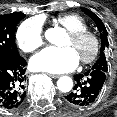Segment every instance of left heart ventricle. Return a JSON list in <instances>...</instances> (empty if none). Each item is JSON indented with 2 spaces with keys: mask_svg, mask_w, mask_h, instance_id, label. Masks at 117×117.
<instances>
[{
  "mask_svg": "<svg viewBox=\"0 0 117 117\" xmlns=\"http://www.w3.org/2000/svg\"><path fill=\"white\" fill-rule=\"evenodd\" d=\"M64 45L73 48L79 58L89 54L92 47V44L89 40L80 43H74L69 37L67 38Z\"/></svg>",
  "mask_w": 117,
  "mask_h": 117,
  "instance_id": "b2bd125f",
  "label": "left heart ventricle"
}]
</instances>
